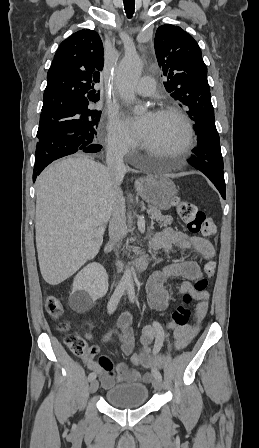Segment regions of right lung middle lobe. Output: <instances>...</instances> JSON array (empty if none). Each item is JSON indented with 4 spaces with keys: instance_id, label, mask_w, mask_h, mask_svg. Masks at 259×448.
I'll return each instance as SVG.
<instances>
[{
    "instance_id": "1",
    "label": "right lung middle lobe",
    "mask_w": 259,
    "mask_h": 448,
    "mask_svg": "<svg viewBox=\"0 0 259 448\" xmlns=\"http://www.w3.org/2000/svg\"><path fill=\"white\" fill-rule=\"evenodd\" d=\"M100 116L101 111L91 105L72 111L41 114L37 138L74 134L84 139L86 145L95 143Z\"/></svg>"
}]
</instances>
